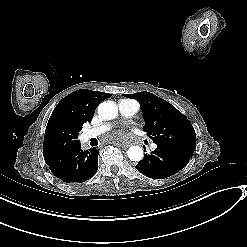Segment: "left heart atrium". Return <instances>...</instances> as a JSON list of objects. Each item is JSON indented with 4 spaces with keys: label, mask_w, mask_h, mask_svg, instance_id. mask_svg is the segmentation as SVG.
Returning <instances> with one entry per match:
<instances>
[{
    "label": "left heart atrium",
    "mask_w": 247,
    "mask_h": 247,
    "mask_svg": "<svg viewBox=\"0 0 247 247\" xmlns=\"http://www.w3.org/2000/svg\"><path fill=\"white\" fill-rule=\"evenodd\" d=\"M136 134V131H126L122 128L99 134L101 144H111L117 147H125L128 140Z\"/></svg>",
    "instance_id": "39dd6f15"
}]
</instances>
